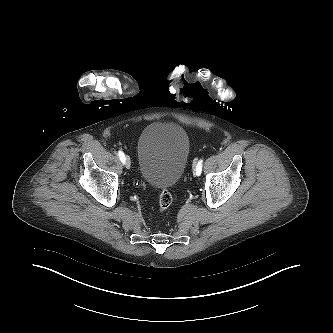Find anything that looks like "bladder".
<instances>
[{
	"instance_id": "1",
	"label": "bladder",
	"mask_w": 333,
	"mask_h": 333,
	"mask_svg": "<svg viewBox=\"0 0 333 333\" xmlns=\"http://www.w3.org/2000/svg\"><path fill=\"white\" fill-rule=\"evenodd\" d=\"M190 153V139L180 125L156 122L141 132L137 163L141 179L149 186L168 189L182 178Z\"/></svg>"
}]
</instances>
